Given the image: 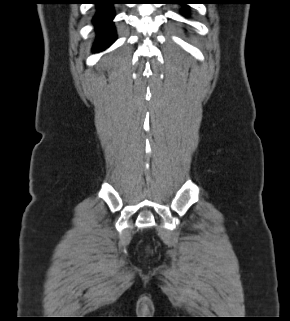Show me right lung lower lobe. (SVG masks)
Instances as JSON below:
<instances>
[{
  "mask_svg": "<svg viewBox=\"0 0 290 321\" xmlns=\"http://www.w3.org/2000/svg\"><path fill=\"white\" fill-rule=\"evenodd\" d=\"M97 4V13L94 17V24L97 31V40L94 45V51L98 52L108 47L115 41V31L111 20L114 17L112 4L115 0H94Z\"/></svg>",
  "mask_w": 290,
  "mask_h": 321,
  "instance_id": "1",
  "label": "right lung lower lobe"
}]
</instances>
